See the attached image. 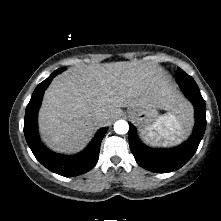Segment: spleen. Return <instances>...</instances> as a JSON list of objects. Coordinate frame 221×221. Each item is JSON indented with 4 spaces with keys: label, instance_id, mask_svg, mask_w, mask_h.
I'll use <instances>...</instances> for the list:
<instances>
[{
    "label": "spleen",
    "instance_id": "3e777b00",
    "mask_svg": "<svg viewBox=\"0 0 221 221\" xmlns=\"http://www.w3.org/2000/svg\"><path fill=\"white\" fill-rule=\"evenodd\" d=\"M192 122L193 119L191 110L179 115L169 113L159 117L157 129L160 135L164 138V142L162 145L167 146L180 143L189 132L192 126ZM141 135L145 139L143 132H141ZM149 136L151 137L152 135L149 134Z\"/></svg>",
    "mask_w": 221,
    "mask_h": 221
}]
</instances>
